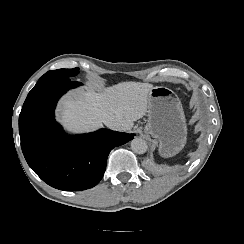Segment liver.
<instances>
[{
    "label": "liver",
    "instance_id": "liver-1",
    "mask_svg": "<svg viewBox=\"0 0 244 244\" xmlns=\"http://www.w3.org/2000/svg\"><path fill=\"white\" fill-rule=\"evenodd\" d=\"M154 88L147 83H122L105 93L80 90L66 97L59 108V118L72 129H92L102 124L103 118L119 122L125 130L148 112L149 92Z\"/></svg>",
    "mask_w": 244,
    "mask_h": 244
}]
</instances>
